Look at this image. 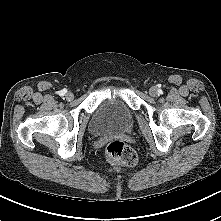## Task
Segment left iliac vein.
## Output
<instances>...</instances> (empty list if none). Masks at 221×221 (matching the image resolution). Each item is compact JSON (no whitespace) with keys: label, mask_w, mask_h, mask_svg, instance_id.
Instances as JSON below:
<instances>
[{"label":"left iliac vein","mask_w":221,"mask_h":221,"mask_svg":"<svg viewBox=\"0 0 221 221\" xmlns=\"http://www.w3.org/2000/svg\"><path fill=\"white\" fill-rule=\"evenodd\" d=\"M149 94L152 96V97H156L158 95V89L156 86H152L150 89H149Z\"/></svg>","instance_id":"4c4485c4"}]
</instances>
